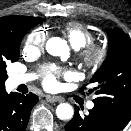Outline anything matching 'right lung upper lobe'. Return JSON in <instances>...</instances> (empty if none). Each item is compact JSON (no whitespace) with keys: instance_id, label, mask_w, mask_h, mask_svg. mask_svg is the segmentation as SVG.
Listing matches in <instances>:
<instances>
[{"instance_id":"cb5924a9","label":"right lung upper lobe","mask_w":131,"mask_h":131,"mask_svg":"<svg viewBox=\"0 0 131 131\" xmlns=\"http://www.w3.org/2000/svg\"><path fill=\"white\" fill-rule=\"evenodd\" d=\"M27 17L28 16H5L0 18V49L8 46L11 29ZM31 18L39 19L37 17ZM4 82L0 81V92L5 91Z\"/></svg>"}]
</instances>
